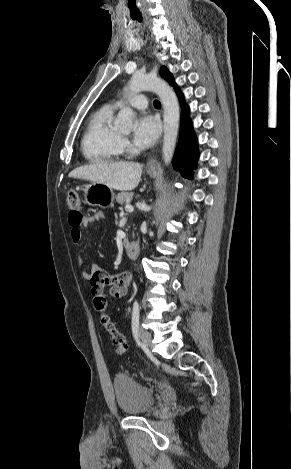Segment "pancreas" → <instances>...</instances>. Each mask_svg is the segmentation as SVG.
<instances>
[{
  "mask_svg": "<svg viewBox=\"0 0 291 469\" xmlns=\"http://www.w3.org/2000/svg\"><path fill=\"white\" fill-rule=\"evenodd\" d=\"M133 195L134 194L130 192H121L117 195L116 201L121 205L123 203H129L132 200Z\"/></svg>",
  "mask_w": 291,
  "mask_h": 469,
  "instance_id": "obj_1",
  "label": "pancreas"
}]
</instances>
